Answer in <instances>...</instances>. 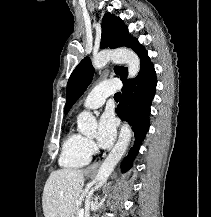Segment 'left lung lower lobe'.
I'll return each mask as SVG.
<instances>
[{"label":"left lung lower lobe","mask_w":211,"mask_h":217,"mask_svg":"<svg viewBox=\"0 0 211 217\" xmlns=\"http://www.w3.org/2000/svg\"><path fill=\"white\" fill-rule=\"evenodd\" d=\"M122 88V99L116 109L117 115L129 122L135 134L134 146L123 160L121 168L126 172L136 157L140 143L149 126L150 106L156 91V73L154 65L145 67L133 80H127Z\"/></svg>","instance_id":"1"}]
</instances>
